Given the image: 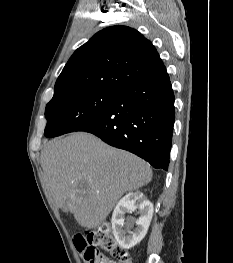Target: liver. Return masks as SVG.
I'll return each mask as SVG.
<instances>
[{
    "label": "liver",
    "instance_id": "6515ba94",
    "mask_svg": "<svg viewBox=\"0 0 233 263\" xmlns=\"http://www.w3.org/2000/svg\"><path fill=\"white\" fill-rule=\"evenodd\" d=\"M41 166L55 205L89 229L107 218L124 193L152 179L148 163L85 132L49 141Z\"/></svg>",
    "mask_w": 233,
    "mask_h": 263
}]
</instances>
